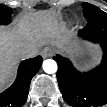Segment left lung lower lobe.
Here are the masks:
<instances>
[{"instance_id": "1", "label": "left lung lower lobe", "mask_w": 107, "mask_h": 107, "mask_svg": "<svg viewBox=\"0 0 107 107\" xmlns=\"http://www.w3.org/2000/svg\"><path fill=\"white\" fill-rule=\"evenodd\" d=\"M79 35L99 43L104 55L99 67L88 73L75 70L72 63L60 55L57 80L63 99L75 107H98L107 103V17L98 18L79 31Z\"/></svg>"}]
</instances>
